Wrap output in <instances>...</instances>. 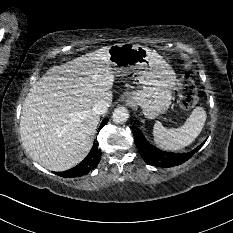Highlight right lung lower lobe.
<instances>
[{
  "mask_svg": "<svg viewBox=\"0 0 233 233\" xmlns=\"http://www.w3.org/2000/svg\"><path fill=\"white\" fill-rule=\"evenodd\" d=\"M108 119H104L100 125V127L107 124ZM101 158V151L98 148V143L93 144L90 153L87 157L77 166L74 168L64 171V172H56L55 174L65 177V178H73V177H80L92 171L99 163Z\"/></svg>",
  "mask_w": 233,
  "mask_h": 233,
  "instance_id": "98d812e1",
  "label": "right lung lower lobe"
}]
</instances>
